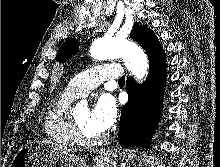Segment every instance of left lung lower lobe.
<instances>
[{
    "instance_id": "obj_1",
    "label": "left lung lower lobe",
    "mask_w": 220,
    "mask_h": 167,
    "mask_svg": "<svg viewBox=\"0 0 220 167\" xmlns=\"http://www.w3.org/2000/svg\"><path fill=\"white\" fill-rule=\"evenodd\" d=\"M148 57L150 68L147 80L137 85L128 78L126 83L129 101L122 109L118 138L124 148L148 147L147 137L160 117L166 59L163 50Z\"/></svg>"
}]
</instances>
